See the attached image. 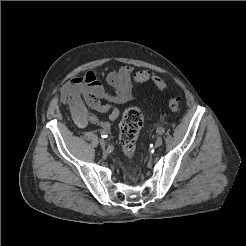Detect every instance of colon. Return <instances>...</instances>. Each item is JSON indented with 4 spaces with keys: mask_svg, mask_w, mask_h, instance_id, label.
Here are the masks:
<instances>
[{
    "mask_svg": "<svg viewBox=\"0 0 246 246\" xmlns=\"http://www.w3.org/2000/svg\"><path fill=\"white\" fill-rule=\"evenodd\" d=\"M134 80L138 83H143L151 80L155 87L164 91L166 89L165 81L158 75L151 73L148 70H140L134 74ZM168 108L171 112L177 113L180 109V99L170 98ZM143 124V114L137 107H128L122 114L120 122V144L123 153L128 158H133L136 152V141L138 133Z\"/></svg>",
    "mask_w": 246,
    "mask_h": 246,
    "instance_id": "colon-1",
    "label": "colon"
}]
</instances>
